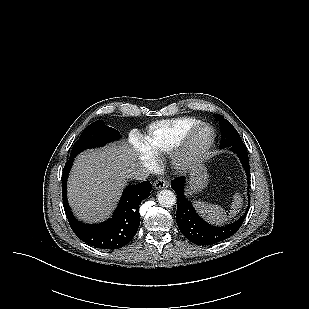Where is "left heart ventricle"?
<instances>
[{"label": "left heart ventricle", "mask_w": 309, "mask_h": 309, "mask_svg": "<svg viewBox=\"0 0 309 309\" xmlns=\"http://www.w3.org/2000/svg\"><path fill=\"white\" fill-rule=\"evenodd\" d=\"M210 136H211L210 130L207 128H202L197 133L196 143L198 145H203L209 140Z\"/></svg>", "instance_id": "b2bd125f"}]
</instances>
